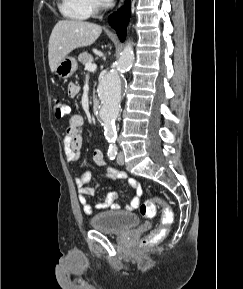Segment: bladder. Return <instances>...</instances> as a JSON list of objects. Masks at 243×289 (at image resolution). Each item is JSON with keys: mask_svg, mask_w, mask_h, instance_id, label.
<instances>
[{"mask_svg": "<svg viewBox=\"0 0 243 289\" xmlns=\"http://www.w3.org/2000/svg\"><path fill=\"white\" fill-rule=\"evenodd\" d=\"M139 223L140 219L135 213L117 210L103 211L90 219L93 229L113 234L128 231L138 226Z\"/></svg>", "mask_w": 243, "mask_h": 289, "instance_id": "obj_1", "label": "bladder"}]
</instances>
